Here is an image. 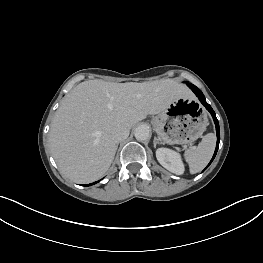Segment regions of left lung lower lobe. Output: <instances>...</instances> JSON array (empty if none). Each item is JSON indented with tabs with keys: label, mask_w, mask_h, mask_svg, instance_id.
<instances>
[{
	"label": "left lung lower lobe",
	"mask_w": 263,
	"mask_h": 263,
	"mask_svg": "<svg viewBox=\"0 0 263 263\" xmlns=\"http://www.w3.org/2000/svg\"><path fill=\"white\" fill-rule=\"evenodd\" d=\"M189 86V88L196 94V96L199 98L200 102L206 107V109L211 113L212 117H213V120L215 122V125H216V132H217V144H216V149H215V152H214V155L210 161V163L207 165V167L211 164V162L213 161V159L215 158L216 156V153H217V150H218V147H219V141H220V131H219V123H218V120L216 118V115H215V112L213 111V109L211 108V106L206 102L205 100V97L203 95V93L201 92L200 89H198L195 85L193 84H187ZM206 167V168H207ZM205 168V169H206ZM204 169V170H205Z\"/></svg>",
	"instance_id": "left-lung-lower-lobe-1"
}]
</instances>
